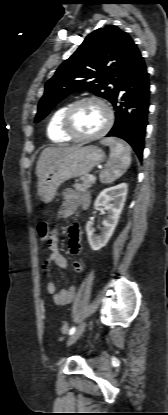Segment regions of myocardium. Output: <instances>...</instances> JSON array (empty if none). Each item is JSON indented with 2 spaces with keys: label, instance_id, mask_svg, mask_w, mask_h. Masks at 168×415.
I'll list each match as a JSON object with an SVG mask.
<instances>
[{
  "label": "myocardium",
  "instance_id": "myocardium-1",
  "mask_svg": "<svg viewBox=\"0 0 168 415\" xmlns=\"http://www.w3.org/2000/svg\"><path fill=\"white\" fill-rule=\"evenodd\" d=\"M87 102H94L99 104L100 106H102V108L105 110L106 112V122L105 125L103 126V128L92 135H80L78 133L75 132V130L73 129L72 126V117L73 114L75 112V110L82 104L87 103ZM113 124V112L112 109L110 108V106L103 101L102 99L98 98V97H84L81 99H78L76 101H74L73 103H71L67 109L64 112L63 118H62V130L63 132L70 137L73 140L76 141H93V140H97L101 137H103L104 135L107 134V132L110 130V128L112 127Z\"/></svg>",
  "mask_w": 168,
  "mask_h": 415
}]
</instances>
